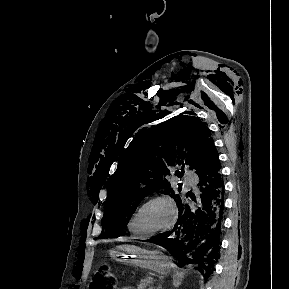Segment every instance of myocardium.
<instances>
[{
  "mask_svg": "<svg viewBox=\"0 0 289 289\" xmlns=\"http://www.w3.org/2000/svg\"><path fill=\"white\" fill-rule=\"evenodd\" d=\"M156 201L163 202L169 207L170 212H171L170 220H169L168 224L161 229H158L156 231L149 232V233L142 232L136 227L137 218H138L139 214L141 213V211L147 205H149L152 202H156ZM177 215H178V211H177L176 204L169 196L154 195V196H151L148 199H146L144 202H142L140 204V206L136 209V211L134 212V214L131 217V227L139 236L151 237V236L159 235V234H162V233L169 231L173 227V225L176 222Z\"/></svg>",
  "mask_w": 289,
  "mask_h": 289,
  "instance_id": "f54148a6",
  "label": "myocardium"
}]
</instances>
